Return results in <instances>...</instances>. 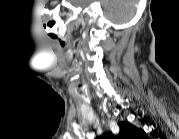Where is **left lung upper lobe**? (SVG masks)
I'll list each match as a JSON object with an SVG mask.
<instances>
[{
    "label": "left lung upper lobe",
    "instance_id": "1",
    "mask_svg": "<svg viewBox=\"0 0 179 139\" xmlns=\"http://www.w3.org/2000/svg\"><path fill=\"white\" fill-rule=\"evenodd\" d=\"M120 133L117 136L112 135L111 132L106 134L108 139H142L146 134L142 129H138L128 122H120Z\"/></svg>",
    "mask_w": 179,
    "mask_h": 139
}]
</instances>
